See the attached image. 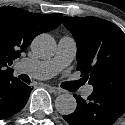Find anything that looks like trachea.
I'll list each match as a JSON object with an SVG mask.
<instances>
[{"label":"trachea","instance_id":"trachea-1","mask_svg":"<svg viewBox=\"0 0 125 125\" xmlns=\"http://www.w3.org/2000/svg\"><path fill=\"white\" fill-rule=\"evenodd\" d=\"M20 79H22L23 81L27 82L29 77L27 75H20Z\"/></svg>","mask_w":125,"mask_h":125}]
</instances>
